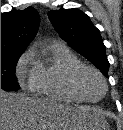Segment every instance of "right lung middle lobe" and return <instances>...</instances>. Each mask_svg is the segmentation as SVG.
<instances>
[{"mask_svg":"<svg viewBox=\"0 0 123 130\" xmlns=\"http://www.w3.org/2000/svg\"><path fill=\"white\" fill-rule=\"evenodd\" d=\"M21 55L22 53L1 55V89L16 91L20 88L14 73Z\"/></svg>","mask_w":123,"mask_h":130,"instance_id":"right-lung-middle-lobe-1","label":"right lung middle lobe"}]
</instances>
